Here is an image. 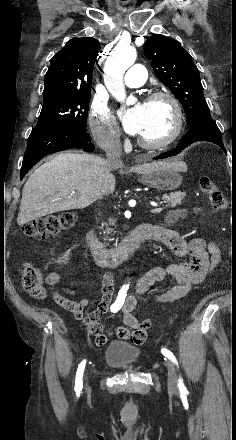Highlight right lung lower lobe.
Returning <instances> with one entry per match:
<instances>
[{
  "instance_id": "obj_1",
  "label": "right lung lower lobe",
  "mask_w": 236,
  "mask_h": 440,
  "mask_svg": "<svg viewBox=\"0 0 236 440\" xmlns=\"http://www.w3.org/2000/svg\"><path fill=\"white\" fill-rule=\"evenodd\" d=\"M86 130L75 128H34L28 138L27 149L21 168V179L44 156L66 150L79 148L86 152L94 151L95 146Z\"/></svg>"
}]
</instances>
